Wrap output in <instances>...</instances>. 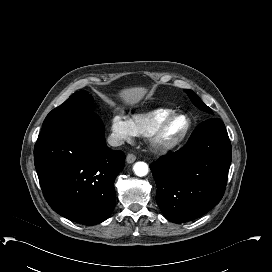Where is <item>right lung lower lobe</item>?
<instances>
[{"label":"right lung lower lobe","mask_w":272,"mask_h":272,"mask_svg":"<svg viewBox=\"0 0 272 272\" xmlns=\"http://www.w3.org/2000/svg\"><path fill=\"white\" fill-rule=\"evenodd\" d=\"M125 154L111 150L94 112L80 113L42 128L34 163L43 195L61 216L85 225L106 220L116 201L114 180Z\"/></svg>","instance_id":"right-lung-lower-lobe-1"}]
</instances>
